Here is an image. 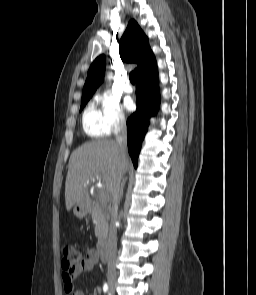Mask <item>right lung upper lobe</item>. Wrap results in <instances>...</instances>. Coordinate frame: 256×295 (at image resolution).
<instances>
[{
    "label": "right lung upper lobe",
    "mask_w": 256,
    "mask_h": 295,
    "mask_svg": "<svg viewBox=\"0 0 256 295\" xmlns=\"http://www.w3.org/2000/svg\"><path fill=\"white\" fill-rule=\"evenodd\" d=\"M119 54L123 61L137 63L136 78L156 64L155 57L149 48L148 39L135 20L129 22L120 39ZM104 74L105 56L100 55L88 70L82 97H92L101 84Z\"/></svg>",
    "instance_id": "obj_1"
}]
</instances>
